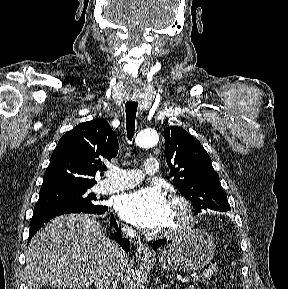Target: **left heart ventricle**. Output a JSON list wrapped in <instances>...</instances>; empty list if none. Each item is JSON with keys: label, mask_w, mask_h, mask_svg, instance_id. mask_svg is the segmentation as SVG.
Here are the masks:
<instances>
[{"label": "left heart ventricle", "mask_w": 288, "mask_h": 289, "mask_svg": "<svg viewBox=\"0 0 288 289\" xmlns=\"http://www.w3.org/2000/svg\"><path fill=\"white\" fill-rule=\"evenodd\" d=\"M182 220V211L179 206L169 203V217L166 224L167 227H172L179 224Z\"/></svg>", "instance_id": "obj_1"}]
</instances>
